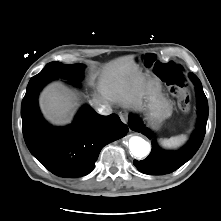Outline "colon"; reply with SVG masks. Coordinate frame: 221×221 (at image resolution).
Segmentation results:
<instances>
[{
	"label": "colon",
	"mask_w": 221,
	"mask_h": 221,
	"mask_svg": "<svg viewBox=\"0 0 221 221\" xmlns=\"http://www.w3.org/2000/svg\"><path fill=\"white\" fill-rule=\"evenodd\" d=\"M144 62L147 67H153L155 74L170 87L171 93L178 98L180 109L188 112L191 100L185 90V76L182 67L174 62L156 61L151 54L145 57Z\"/></svg>",
	"instance_id": "5ec220e1"
}]
</instances>
